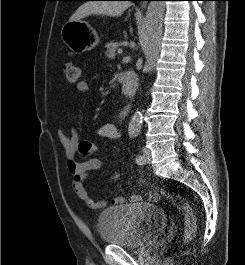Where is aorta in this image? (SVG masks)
Masks as SVG:
<instances>
[{
    "mask_svg": "<svg viewBox=\"0 0 245 265\" xmlns=\"http://www.w3.org/2000/svg\"><path fill=\"white\" fill-rule=\"evenodd\" d=\"M165 12L164 1H151L146 12L143 41L145 44V70L152 72L155 69L162 41V23ZM141 129V113L136 112L129 123V131L137 133Z\"/></svg>",
    "mask_w": 245,
    "mask_h": 265,
    "instance_id": "762f6f07",
    "label": "aorta"
}]
</instances>
